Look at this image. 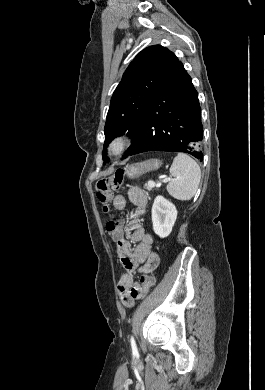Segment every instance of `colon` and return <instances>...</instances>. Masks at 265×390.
Returning a JSON list of instances; mask_svg holds the SVG:
<instances>
[{"mask_svg":"<svg viewBox=\"0 0 265 390\" xmlns=\"http://www.w3.org/2000/svg\"><path fill=\"white\" fill-rule=\"evenodd\" d=\"M123 179L124 171L118 170L113 175L101 178L96 182L97 198L103 203V209L105 212L108 211L107 203L111 194L121 186ZM106 230L110 237L114 241H117L122 235V223L114 217H110L106 223ZM154 282L155 279L152 275H145L141 278L140 284L142 297L150 291Z\"/></svg>","mask_w":265,"mask_h":390,"instance_id":"5ec220e1","label":"colon"}]
</instances>
